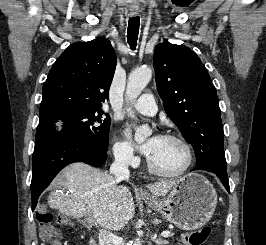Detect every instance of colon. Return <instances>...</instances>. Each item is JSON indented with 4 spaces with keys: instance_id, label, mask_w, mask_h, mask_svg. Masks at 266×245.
I'll return each mask as SVG.
<instances>
[{
    "instance_id": "obj_1",
    "label": "colon",
    "mask_w": 266,
    "mask_h": 245,
    "mask_svg": "<svg viewBox=\"0 0 266 245\" xmlns=\"http://www.w3.org/2000/svg\"><path fill=\"white\" fill-rule=\"evenodd\" d=\"M36 219L43 245H62L59 240V233L53 224V213L49 210H40L36 214ZM210 233V227L204 226L185 233L183 238L187 245H203Z\"/></svg>"
}]
</instances>
